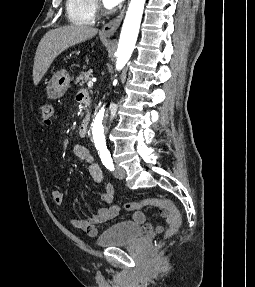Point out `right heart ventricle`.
Masks as SVG:
<instances>
[{"instance_id": "obj_1", "label": "right heart ventricle", "mask_w": 255, "mask_h": 287, "mask_svg": "<svg viewBox=\"0 0 255 287\" xmlns=\"http://www.w3.org/2000/svg\"><path fill=\"white\" fill-rule=\"evenodd\" d=\"M77 33H100V32H77ZM88 39H109V38H88ZM98 48H109V47H98Z\"/></svg>"}]
</instances>
